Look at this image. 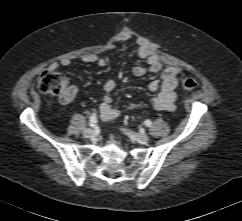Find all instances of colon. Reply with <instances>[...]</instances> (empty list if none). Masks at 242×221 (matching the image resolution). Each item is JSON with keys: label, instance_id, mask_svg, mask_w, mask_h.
Segmentation results:
<instances>
[{"label": "colon", "instance_id": "5ec220e1", "mask_svg": "<svg viewBox=\"0 0 242 221\" xmlns=\"http://www.w3.org/2000/svg\"><path fill=\"white\" fill-rule=\"evenodd\" d=\"M180 82L185 90H193L198 85L196 79L188 75H182ZM38 87L43 93L57 96L61 101H67L70 97L64 75L56 70H43L38 78Z\"/></svg>", "mask_w": 242, "mask_h": 221}]
</instances>
